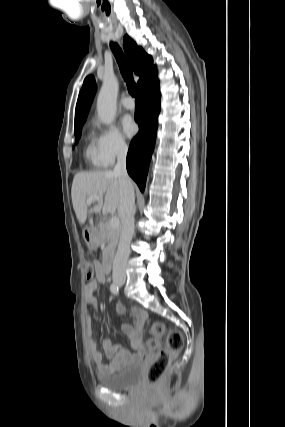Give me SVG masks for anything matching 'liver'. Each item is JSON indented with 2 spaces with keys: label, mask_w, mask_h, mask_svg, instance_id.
<instances>
[{
  "label": "liver",
  "mask_w": 285,
  "mask_h": 427,
  "mask_svg": "<svg viewBox=\"0 0 285 427\" xmlns=\"http://www.w3.org/2000/svg\"><path fill=\"white\" fill-rule=\"evenodd\" d=\"M90 196L101 198L97 204L88 209L87 199ZM72 204L81 224L87 220L88 214L114 213L120 201L119 177L113 171L80 172L74 176L71 188ZM90 225L93 218L89 219Z\"/></svg>",
  "instance_id": "liver-1"
}]
</instances>
